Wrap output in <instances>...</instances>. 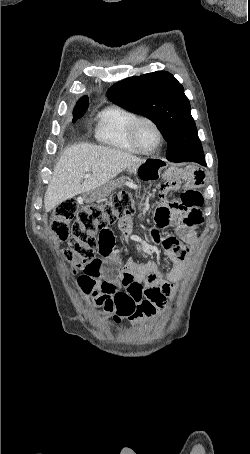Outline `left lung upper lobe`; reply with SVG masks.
<instances>
[{
  "label": "left lung upper lobe",
  "mask_w": 250,
  "mask_h": 454,
  "mask_svg": "<svg viewBox=\"0 0 250 454\" xmlns=\"http://www.w3.org/2000/svg\"><path fill=\"white\" fill-rule=\"evenodd\" d=\"M107 95L120 107L152 120L167 141V159L203 156L183 86L172 74L156 71L126 78L111 86Z\"/></svg>",
  "instance_id": "left-lung-upper-lobe-1"
}]
</instances>
